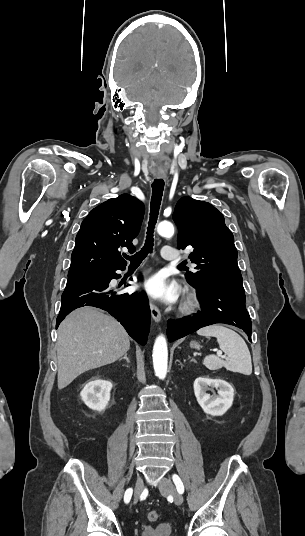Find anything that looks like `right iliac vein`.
I'll return each instance as SVG.
<instances>
[{
	"instance_id": "1",
	"label": "right iliac vein",
	"mask_w": 305,
	"mask_h": 536,
	"mask_svg": "<svg viewBox=\"0 0 305 536\" xmlns=\"http://www.w3.org/2000/svg\"><path fill=\"white\" fill-rule=\"evenodd\" d=\"M142 491H143V481L141 477H138L135 482L134 504L137 503V500L140 497Z\"/></svg>"
}]
</instances>
